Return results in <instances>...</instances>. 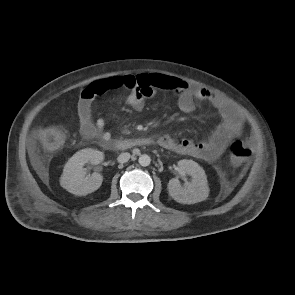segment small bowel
<instances>
[{
  "label": "small bowel",
  "mask_w": 295,
  "mask_h": 295,
  "mask_svg": "<svg viewBox=\"0 0 295 295\" xmlns=\"http://www.w3.org/2000/svg\"><path fill=\"white\" fill-rule=\"evenodd\" d=\"M118 88L130 91L128 103L138 111L142 110L146 101L160 90L172 92L177 97L179 108L185 113L194 110L196 101L207 102L218 111L222 122L207 140L177 141L170 134H165L158 139L160 146L178 154L213 161L223 153L231 139L240 136L243 132L244 121L241 114L215 92L195 87L173 76L152 73L110 76L88 83L82 89L77 105L79 131L82 137L97 138L101 142L111 139V133L105 129V119L98 118L94 121L91 107L96 97Z\"/></svg>",
  "instance_id": "c3829d8e"
}]
</instances>
